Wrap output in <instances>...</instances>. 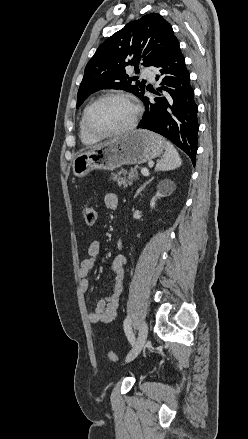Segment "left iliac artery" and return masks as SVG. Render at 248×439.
I'll return each mask as SVG.
<instances>
[{"instance_id": "44dca946", "label": "left iliac artery", "mask_w": 248, "mask_h": 439, "mask_svg": "<svg viewBox=\"0 0 248 439\" xmlns=\"http://www.w3.org/2000/svg\"><path fill=\"white\" fill-rule=\"evenodd\" d=\"M123 326H124V331H125V334H126L128 340H129V342L131 344H134L135 337H134V334H133V331H132V328H131V319H130V317H127L125 319Z\"/></svg>"}]
</instances>
